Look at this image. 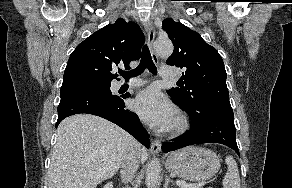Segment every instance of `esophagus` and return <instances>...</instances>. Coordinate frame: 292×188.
<instances>
[{
    "mask_svg": "<svg viewBox=\"0 0 292 188\" xmlns=\"http://www.w3.org/2000/svg\"><path fill=\"white\" fill-rule=\"evenodd\" d=\"M144 27L147 33V42H148V46L150 48L151 51V55L152 58L154 60L155 63H158V56L156 55V53L153 50V42L155 39V28L153 23L150 20H147L144 22ZM151 152L153 154H158L161 150V142L158 139H155L152 144H151V148H150Z\"/></svg>",
    "mask_w": 292,
    "mask_h": 188,
    "instance_id": "34e87169",
    "label": "esophagus"
}]
</instances>
